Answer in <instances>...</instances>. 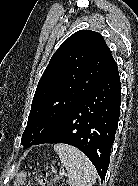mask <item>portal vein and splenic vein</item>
Segmentation results:
<instances>
[{
  "mask_svg": "<svg viewBox=\"0 0 138 186\" xmlns=\"http://www.w3.org/2000/svg\"><path fill=\"white\" fill-rule=\"evenodd\" d=\"M59 174H60L61 176H64V175H65V172L62 170V171L59 172Z\"/></svg>",
  "mask_w": 138,
  "mask_h": 186,
  "instance_id": "obj_1",
  "label": "portal vein and splenic vein"
}]
</instances>
